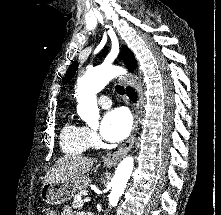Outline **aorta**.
Segmentation results:
<instances>
[{
  "mask_svg": "<svg viewBox=\"0 0 221 215\" xmlns=\"http://www.w3.org/2000/svg\"><path fill=\"white\" fill-rule=\"evenodd\" d=\"M125 71L120 67L107 66L102 64L88 72L78 80L77 94V113L89 125H94L99 119L97 105V93L100 92L113 78L124 74ZM134 167V159L131 156L124 158L115 170L112 178V189L109 194V205L115 206L123 194L131 172Z\"/></svg>",
  "mask_w": 221,
  "mask_h": 215,
  "instance_id": "762f6f07",
  "label": "aorta"
}]
</instances>
